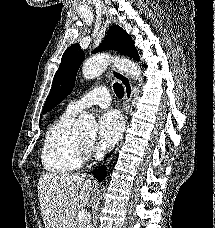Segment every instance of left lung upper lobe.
I'll list each match as a JSON object with an SVG mask.
<instances>
[{"label": "left lung upper lobe", "instance_id": "left-lung-upper-lobe-1", "mask_svg": "<svg viewBox=\"0 0 215 228\" xmlns=\"http://www.w3.org/2000/svg\"><path fill=\"white\" fill-rule=\"evenodd\" d=\"M115 50L135 60H139L138 52L131 37L119 26H112L102 44L92 51ZM85 57L79 44L70 46L63 54L51 91L46 99L43 112H46L63 101L73 90L76 73Z\"/></svg>", "mask_w": 215, "mask_h": 228}]
</instances>
